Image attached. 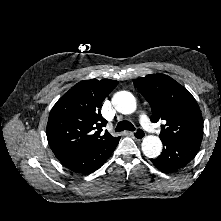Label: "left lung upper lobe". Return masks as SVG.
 <instances>
[{"label": "left lung upper lobe", "instance_id": "5c2ea615", "mask_svg": "<svg viewBox=\"0 0 221 221\" xmlns=\"http://www.w3.org/2000/svg\"><path fill=\"white\" fill-rule=\"evenodd\" d=\"M134 85L152 108L151 121L161 125L162 142L203 137V118L194 97L177 81L164 74L138 78Z\"/></svg>", "mask_w": 221, "mask_h": 221}]
</instances>
